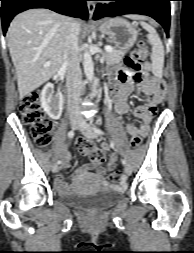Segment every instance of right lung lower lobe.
Wrapping results in <instances>:
<instances>
[{"label":"right lung lower lobe","instance_id":"right-lung-lower-lobe-1","mask_svg":"<svg viewBox=\"0 0 194 253\" xmlns=\"http://www.w3.org/2000/svg\"><path fill=\"white\" fill-rule=\"evenodd\" d=\"M2 1V27L6 34L7 28L13 17L25 10L32 8H47L57 13L78 17L86 20L88 10L87 0H0Z\"/></svg>","mask_w":194,"mask_h":253}]
</instances>
